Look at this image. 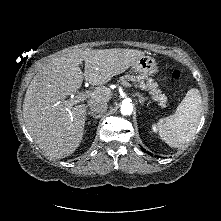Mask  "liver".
<instances>
[{"instance_id":"obj_1","label":"liver","mask_w":221,"mask_h":221,"mask_svg":"<svg viewBox=\"0 0 221 221\" xmlns=\"http://www.w3.org/2000/svg\"><path fill=\"white\" fill-rule=\"evenodd\" d=\"M143 55V51L135 49H79L42 67L29 84L23 103L26 128L39 148L56 159L71 155L82 141L88 105L111 100L112 92L105 83ZM82 61L84 73L79 67ZM84 78L97 86L87 104L65 100L78 91Z\"/></svg>"}]
</instances>
